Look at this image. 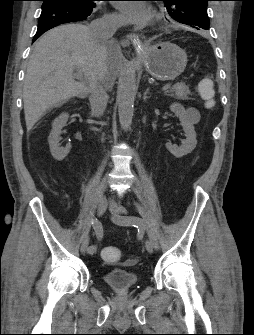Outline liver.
Instances as JSON below:
<instances>
[{"instance_id": "1", "label": "liver", "mask_w": 254, "mask_h": 335, "mask_svg": "<svg viewBox=\"0 0 254 335\" xmlns=\"http://www.w3.org/2000/svg\"><path fill=\"white\" fill-rule=\"evenodd\" d=\"M122 58L114 40L95 42L86 25L66 24L46 32L35 44L24 79L27 130L47 110L87 94L90 80L101 72L105 74V88L111 90ZM75 69L83 74V80H76Z\"/></svg>"}]
</instances>
